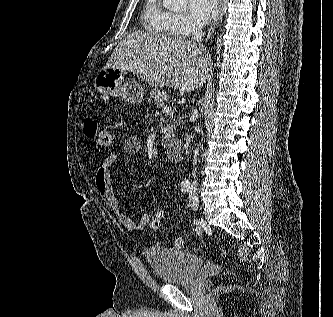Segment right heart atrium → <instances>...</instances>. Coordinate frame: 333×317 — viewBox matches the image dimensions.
Returning a JSON list of instances; mask_svg holds the SVG:
<instances>
[{"label":"right heart atrium","instance_id":"right-heart-atrium-1","mask_svg":"<svg viewBox=\"0 0 333 317\" xmlns=\"http://www.w3.org/2000/svg\"><path fill=\"white\" fill-rule=\"evenodd\" d=\"M171 29L177 35H187L196 29L189 18L180 13H172Z\"/></svg>","mask_w":333,"mask_h":317}]
</instances>
